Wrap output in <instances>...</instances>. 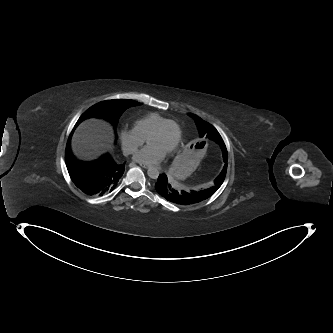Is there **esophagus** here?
<instances>
[{"label":"esophagus","mask_w":333,"mask_h":333,"mask_svg":"<svg viewBox=\"0 0 333 333\" xmlns=\"http://www.w3.org/2000/svg\"><path fill=\"white\" fill-rule=\"evenodd\" d=\"M139 164H140L143 168H145V169H147V168L150 167V165L147 164V163L139 162Z\"/></svg>","instance_id":"esophagus-1"}]
</instances>
